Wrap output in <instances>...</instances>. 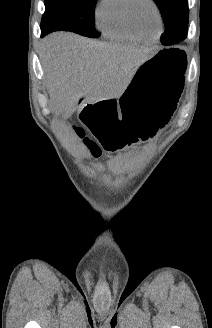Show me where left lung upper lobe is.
<instances>
[{"instance_id": "left-lung-upper-lobe-1", "label": "left lung upper lobe", "mask_w": 212, "mask_h": 328, "mask_svg": "<svg viewBox=\"0 0 212 328\" xmlns=\"http://www.w3.org/2000/svg\"><path fill=\"white\" fill-rule=\"evenodd\" d=\"M158 5L166 32L160 38L164 45L177 43L187 37L188 0H154Z\"/></svg>"}]
</instances>
